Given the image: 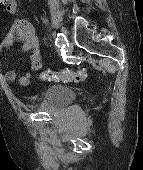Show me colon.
Wrapping results in <instances>:
<instances>
[{"instance_id":"1","label":"colon","mask_w":143,"mask_h":170,"mask_svg":"<svg viewBox=\"0 0 143 170\" xmlns=\"http://www.w3.org/2000/svg\"><path fill=\"white\" fill-rule=\"evenodd\" d=\"M6 0H0V5L5 4ZM87 78V71L85 68L68 69L63 71L46 70L39 74V79L42 81H50L56 83L67 82H83ZM27 80L23 79L22 85H26Z\"/></svg>"}]
</instances>
